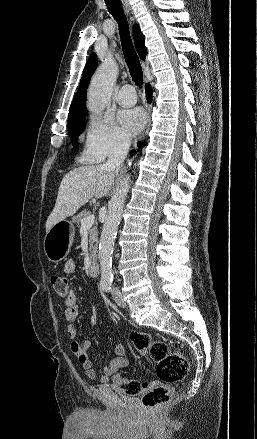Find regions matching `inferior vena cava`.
<instances>
[{
    "label": "inferior vena cava",
    "mask_w": 257,
    "mask_h": 439,
    "mask_svg": "<svg viewBox=\"0 0 257 439\" xmlns=\"http://www.w3.org/2000/svg\"><path fill=\"white\" fill-rule=\"evenodd\" d=\"M130 145H131V141L129 138L127 137L118 138L113 144L108 155V160L104 164V166L107 169H116V171H118L120 165L123 163L124 159L127 156Z\"/></svg>",
    "instance_id": "602c4592"
}]
</instances>
